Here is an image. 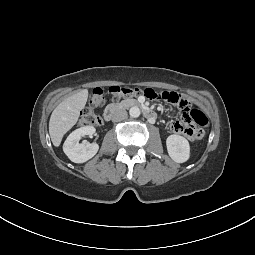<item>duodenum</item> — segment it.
I'll list each match as a JSON object with an SVG mask.
<instances>
[{"mask_svg": "<svg viewBox=\"0 0 255 255\" xmlns=\"http://www.w3.org/2000/svg\"><path fill=\"white\" fill-rule=\"evenodd\" d=\"M125 107H139V108H141L144 116L146 118H148L149 120H154L156 117V113L152 109L143 105V103H141L138 100L130 99L123 103H113V104L108 105L103 113L104 119L106 121H110L117 114L118 111H120L122 108H125Z\"/></svg>", "mask_w": 255, "mask_h": 255, "instance_id": "obj_1", "label": "duodenum"}]
</instances>
